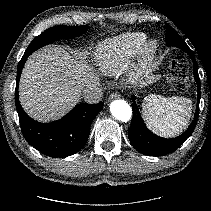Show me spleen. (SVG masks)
Wrapping results in <instances>:
<instances>
[{
	"label": "spleen",
	"instance_id": "1",
	"mask_svg": "<svg viewBox=\"0 0 211 211\" xmlns=\"http://www.w3.org/2000/svg\"><path fill=\"white\" fill-rule=\"evenodd\" d=\"M192 101L183 97L150 95L142 103L147 126L156 134L172 137L181 133L189 123Z\"/></svg>",
	"mask_w": 211,
	"mask_h": 211
}]
</instances>
